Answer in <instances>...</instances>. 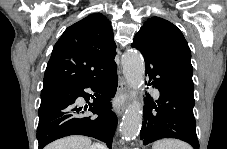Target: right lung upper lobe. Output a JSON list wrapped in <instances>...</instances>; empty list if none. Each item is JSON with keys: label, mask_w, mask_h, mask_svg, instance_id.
Here are the masks:
<instances>
[{"label": "right lung upper lobe", "mask_w": 227, "mask_h": 149, "mask_svg": "<svg viewBox=\"0 0 227 149\" xmlns=\"http://www.w3.org/2000/svg\"><path fill=\"white\" fill-rule=\"evenodd\" d=\"M116 44L109 20L91 14L68 27L55 44L43 89L70 87L97 74L114 61Z\"/></svg>", "instance_id": "cb5924a9"}]
</instances>
